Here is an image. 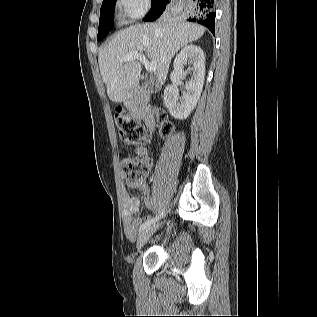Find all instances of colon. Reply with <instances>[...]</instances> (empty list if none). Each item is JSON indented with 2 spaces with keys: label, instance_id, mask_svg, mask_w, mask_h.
Wrapping results in <instances>:
<instances>
[{
  "label": "colon",
  "instance_id": "obj_1",
  "mask_svg": "<svg viewBox=\"0 0 317 317\" xmlns=\"http://www.w3.org/2000/svg\"><path fill=\"white\" fill-rule=\"evenodd\" d=\"M152 114L160 125L161 135L164 137L170 135L173 128L168 121L165 111L153 109ZM116 121L120 135L125 142L129 144H143L146 141V131L135 118L119 113L116 116ZM121 168L126 175L127 181L136 183L148 175L150 164L145 159L128 155L123 157Z\"/></svg>",
  "mask_w": 317,
  "mask_h": 317
}]
</instances>
